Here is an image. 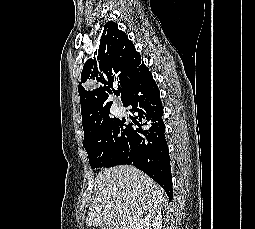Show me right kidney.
<instances>
[{
	"label": "right kidney",
	"mask_w": 255,
	"mask_h": 229,
	"mask_svg": "<svg viewBox=\"0 0 255 229\" xmlns=\"http://www.w3.org/2000/svg\"><path fill=\"white\" fill-rule=\"evenodd\" d=\"M135 229H162V214L160 210H153L137 224Z\"/></svg>",
	"instance_id": "1"
}]
</instances>
